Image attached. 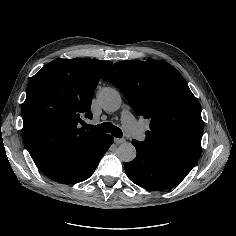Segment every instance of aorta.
I'll use <instances>...</instances> for the list:
<instances>
[{
  "label": "aorta",
  "mask_w": 236,
  "mask_h": 236,
  "mask_svg": "<svg viewBox=\"0 0 236 236\" xmlns=\"http://www.w3.org/2000/svg\"><path fill=\"white\" fill-rule=\"evenodd\" d=\"M98 101L106 112L117 111L121 106V96L119 92L110 87L103 88L98 94ZM136 148L129 142L120 144L117 149V156L121 161L130 162L136 157Z\"/></svg>",
  "instance_id": "762f6f07"
}]
</instances>
